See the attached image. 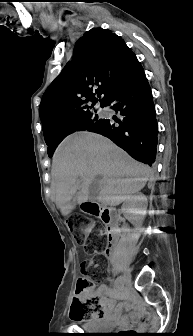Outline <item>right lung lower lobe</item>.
Listing matches in <instances>:
<instances>
[{
    "mask_svg": "<svg viewBox=\"0 0 193 336\" xmlns=\"http://www.w3.org/2000/svg\"><path fill=\"white\" fill-rule=\"evenodd\" d=\"M107 105L121 117L106 119L95 132L111 139L134 159L153 165L158 125L151 89L139 62L117 83L104 106Z\"/></svg>",
    "mask_w": 193,
    "mask_h": 336,
    "instance_id": "right-lung-lower-lobe-1",
    "label": "right lung lower lobe"
}]
</instances>
